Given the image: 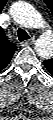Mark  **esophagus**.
<instances>
[{"mask_svg": "<svg viewBox=\"0 0 53 120\" xmlns=\"http://www.w3.org/2000/svg\"><path fill=\"white\" fill-rule=\"evenodd\" d=\"M34 43V39L27 40L22 43V46L32 45Z\"/></svg>", "mask_w": 53, "mask_h": 120, "instance_id": "1", "label": "esophagus"}]
</instances>
